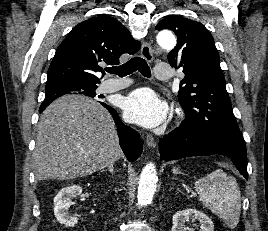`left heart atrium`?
<instances>
[{"mask_svg": "<svg viewBox=\"0 0 268 231\" xmlns=\"http://www.w3.org/2000/svg\"><path fill=\"white\" fill-rule=\"evenodd\" d=\"M123 111L127 121L150 128L164 121L167 107L153 90L141 88L125 98Z\"/></svg>", "mask_w": 268, "mask_h": 231, "instance_id": "39dd6f15", "label": "left heart atrium"}]
</instances>
